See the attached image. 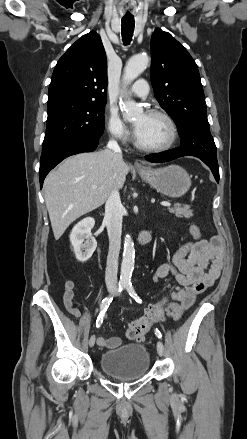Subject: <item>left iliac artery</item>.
I'll list each match as a JSON object with an SVG mask.
<instances>
[{
	"mask_svg": "<svg viewBox=\"0 0 247 439\" xmlns=\"http://www.w3.org/2000/svg\"><path fill=\"white\" fill-rule=\"evenodd\" d=\"M126 290L128 291V293H129V295L136 301V302H138V303H142V300L140 299V297L136 294V292H135V290H134V288H133V286H132V284L131 283H129V284H127L126 285ZM155 334H156V336L158 337V338H162V334H161V332L158 330V329H156L155 330Z\"/></svg>",
	"mask_w": 247,
	"mask_h": 439,
	"instance_id": "left-iliac-artery-1",
	"label": "left iliac artery"
}]
</instances>
